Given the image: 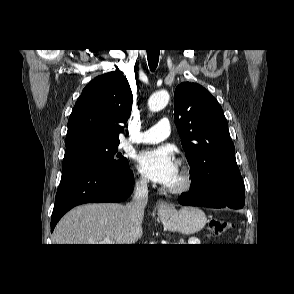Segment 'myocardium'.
<instances>
[{"label": "myocardium", "mask_w": 294, "mask_h": 294, "mask_svg": "<svg viewBox=\"0 0 294 294\" xmlns=\"http://www.w3.org/2000/svg\"><path fill=\"white\" fill-rule=\"evenodd\" d=\"M180 182L175 186H167L166 191L173 195H182L188 192L193 186V175L187 165H181L179 168Z\"/></svg>", "instance_id": "myocardium-1"}]
</instances>
